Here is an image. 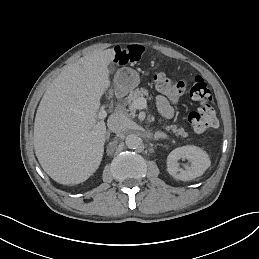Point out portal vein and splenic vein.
<instances>
[{
    "label": "portal vein and splenic vein",
    "instance_id": "18ae733b",
    "mask_svg": "<svg viewBox=\"0 0 259 259\" xmlns=\"http://www.w3.org/2000/svg\"><path fill=\"white\" fill-rule=\"evenodd\" d=\"M132 106L135 108V109H145L147 107V101L144 97H141V98H138L136 100L133 101L132 103ZM107 115L106 111H101L99 112L98 114V117L100 119H103L105 118Z\"/></svg>",
    "mask_w": 259,
    "mask_h": 259
}]
</instances>
